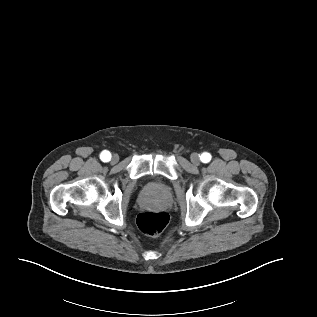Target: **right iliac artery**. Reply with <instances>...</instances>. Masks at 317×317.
Masks as SVG:
<instances>
[{"label":"right iliac artery","instance_id":"right-iliac-artery-1","mask_svg":"<svg viewBox=\"0 0 317 317\" xmlns=\"http://www.w3.org/2000/svg\"><path fill=\"white\" fill-rule=\"evenodd\" d=\"M100 159L104 162H108L111 160V154L109 151H102L101 154H100Z\"/></svg>","mask_w":317,"mask_h":317}]
</instances>
